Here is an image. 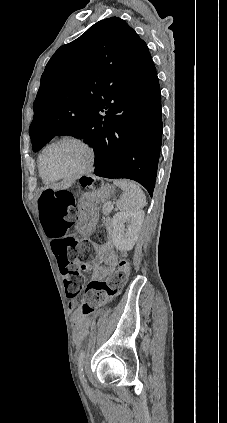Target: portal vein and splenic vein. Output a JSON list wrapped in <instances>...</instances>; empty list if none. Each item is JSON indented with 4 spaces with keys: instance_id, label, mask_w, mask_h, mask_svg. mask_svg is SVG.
Segmentation results:
<instances>
[{
    "instance_id": "obj_1",
    "label": "portal vein and splenic vein",
    "mask_w": 227,
    "mask_h": 423,
    "mask_svg": "<svg viewBox=\"0 0 227 423\" xmlns=\"http://www.w3.org/2000/svg\"><path fill=\"white\" fill-rule=\"evenodd\" d=\"M112 208H113V204L112 206H108V210H112Z\"/></svg>"
}]
</instances>
